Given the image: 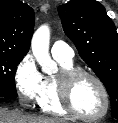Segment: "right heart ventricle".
<instances>
[{"mask_svg": "<svg viewBox=\"0 0 118 123\" xmlns=\"http://www.w3.org/2000/svg\"><path fill=\"white\" fill-rule=\"evenodd\" d=\"M56 60L60 64L62 70L74 68L72 61H63L59 59ZM37 103L40 107V110L45 113L56 115V116H65L68 114L63 109V107L59 102L57 87L54 77L43 78V88L37 100Z\"/></svg>", "mask_w": 118, "mask_h": 123, "instance_id": "1", "label": "right heart ventricle"}]
</instances>
